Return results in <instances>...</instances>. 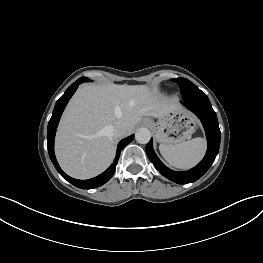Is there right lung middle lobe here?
Instances as JSON below:
<instances>
[{"mask_svg":"<svg viewBox=\"0 0 263 263\" xmlns=\"http://www.w3.org/2000/svg\"><path fill=\"white\" fill-rule=\"evenodd\" d=\"M79 79H81L82 82H84V81H89V79H88V78H85V77H82V78H79Z\"/></svg>","mask_w":263,"mask_h":263,"instance_id":"right-lung-middle-lobe-1","label":"right lung middle lobe"}]
</instances>
